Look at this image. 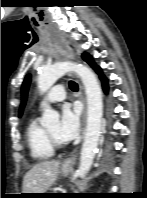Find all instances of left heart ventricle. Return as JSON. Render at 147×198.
<instances>
[{"label":"left heart ventricle","instance_id":"obj_1","mask_svg":"<svg viewBox=\"0 0 147 198\" xmlns=\"http://www.w3.org/2000/svg\"><path fill=\"white\" fill-rule=\"evenodd\" d=\"M57 128H58V124H53L52 126L48 127L47 130L50 132V134L57 140ZM60 142V141H59Z\"/></svg>","mask_w":147,"mask_h":198}]
</instances>
